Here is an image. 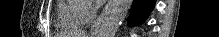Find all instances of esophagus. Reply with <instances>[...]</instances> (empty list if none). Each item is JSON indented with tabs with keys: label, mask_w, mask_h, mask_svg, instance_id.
<instances>
[{
	"label": "esophagus",
	"mask_w": 219,
	"mask_h": 37,
	"mask_svg": "<svg viewBox=\"0 0 219 37\" xmlns=\"http://www.w3.org/2000/svg\"><path fill=\"white\" fill-rule=\"evenodd\" d=\"M110 5V1L106 4L105 8L103 9L102 13L98 16L97 20L93 23L91 29H90V35L91 37H95L99 33L100 24L103 20V17L108 10Z\"/></svg>",
	"instance_id": "esophagus-1"
}]
</instances>
